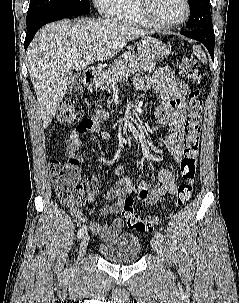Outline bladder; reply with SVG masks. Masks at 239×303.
I'll use <instances>...</instances> for the list:
<instances>
[{"label": "bladder", "instance_id": "bladder-1", "mask_svg": "<svg viewBox=\"0 0 239 303\" xmlns=\"http://www.w3.org/2000/svg\"><path fill=\"white\" fill-rule=\"evenodd\" d=\"M101 255L116 263H132L139 259L140 240L129 233H119L116 237L99 245Z\"/></svg>", "mask_w": 239, "mask_h": 303}]
</instances>
